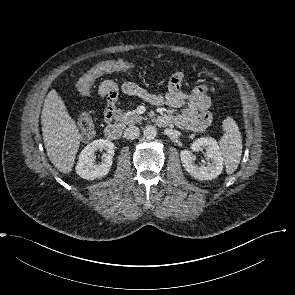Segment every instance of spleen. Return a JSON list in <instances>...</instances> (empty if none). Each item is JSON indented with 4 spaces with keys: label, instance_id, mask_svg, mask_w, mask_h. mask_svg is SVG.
<instances>
[{
    "label": "spleen",
    "instance_id": "spleen-1",
    "mask_svg": "<svg viewBox=\"0 0 295 295\" xmlns=\"http://www.w3.org/2000/svg\"><path fill=\"white\" fill-rule=\"evenodd\" d=\"M224 135L219 141V150L225 162L227 174H233L238 168L242 155V138L233 118L223 120Z\"/></svg>",
    "mask_w": 295,
    "mask_h": 295
}]
</instances>
